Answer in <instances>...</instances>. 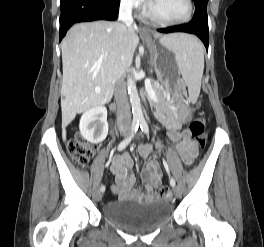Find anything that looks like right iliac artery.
Wrapping results in <instances>:
<instances>
[{"mask_svg": "<svg viewBox=\"0 0 264 247\" xmlns=\"http://www.w3.org/2000/svg\"><path fill=\"white\" fill-rule=\"evenodd\" d=\"M138 128H139V121H136V120L133 121L132 128H131V132H130L129 136L127 138H125L118 145V151H122L123 149H125L127 147V145L131 142V140L133 139L134 135L138 131ZM100 191L104 192L105 191V186H101L100 187Z\"/></svg>", "mask_w": 264, "mask_h": 247, "instance_id": "right-iliac-artery-1", "label": "right iliac artery"}]
</instances>
